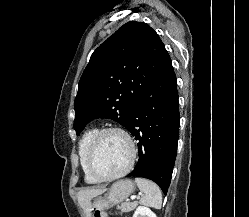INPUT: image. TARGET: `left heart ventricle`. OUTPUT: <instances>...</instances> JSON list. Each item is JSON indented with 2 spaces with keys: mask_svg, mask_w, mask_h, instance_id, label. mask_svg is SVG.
Listing matches in <instances>:
<instances>
[{
  "mask_svg": "<svg viewBox=\"0 0 249 217\" xmlns=\"http://www.w3.org/2000/svg\"><path fill=\"white\" fill-rule=\"evenodd\" d=\"M129 159L127 140L118 133H109L100 140L92 164L96 173L110 176L124 169Z\"/></svg>",
  "mask_w": 249,
  "mask_h": 217,
  "instance_id": "1",
  "label": "left heart ventricle"
}]
</instances>
